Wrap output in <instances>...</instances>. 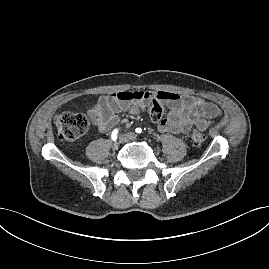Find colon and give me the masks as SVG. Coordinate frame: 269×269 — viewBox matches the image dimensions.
<instances>
[{
	"instance_id": "5ec220e1",
	"label": "colon",
	"mask_w": 269,
	"mask_h": 269,
	"mask_svg": "<svg viewBox=\"0 0 269 269\" xmlns=\"http://www.w3.org/2000/svg\"><path fill=\"white\" fill-rule=\"evenodd\" d=\"M149 115L152 119L165 115V109L158 100H153L148 108ZM57 136L64 141H75L79 139L89 128V120L81 113L73 111H63L54 117ZM191 141L195 146H201L206 135L198 126H194L191 131Z\"/></svg>"
}]
</instances>
